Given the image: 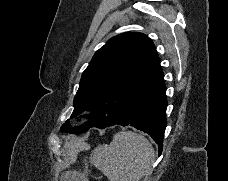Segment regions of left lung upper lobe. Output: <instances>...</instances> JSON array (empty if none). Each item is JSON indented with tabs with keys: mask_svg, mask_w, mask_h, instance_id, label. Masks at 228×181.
<instances>
[{
	"mask_svg": "<svg viewBox=\"0 0 228 181\" xmlns=\"http://www.w3.org/2000/svg\"><path fill=\"white\" fill-rule=\"evenodd\" d=\"M159 60L155 45L145 34L126 32L111 38L83 72L74 98L71 118L90 110V120L76 128L67 120L61 131L81 134L92 127L104 129L115 124L140 80Z\"/></svg>",
	"mask_w": 228,
	"mask_h": 181,
	"instance_id": "left-lung-upper-lobe-1",
	"label": "left lung upper lobe"
}]
</instances>
